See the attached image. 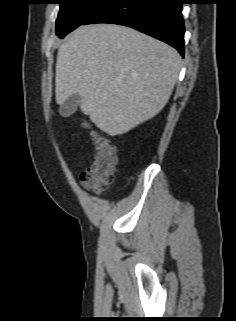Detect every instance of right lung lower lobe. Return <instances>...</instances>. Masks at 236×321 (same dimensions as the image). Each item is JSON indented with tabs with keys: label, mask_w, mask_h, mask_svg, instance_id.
<instances>
[{
	"label": "right lung lower lobe",
	"mask_w": 236,
	"mask_h": 321,
	"mask_svg": "<svg viewBox=\"0 0 236 321\" xmlns=\"http://www.w3.org/2000/svg\"><path fill=\"white\" fill-rule=\"evenodd\" d=\"M181 0H109L83 24L125 25L168 43L184 57Z\"/></svg>",
	"instance_id": "obj_1"
}]
</instances>
